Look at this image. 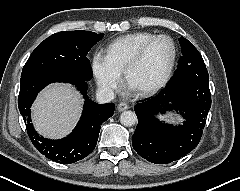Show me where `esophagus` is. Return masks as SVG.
Masks as SVG:
<instances>
[{
    "label": "esophagus",
    "instance_id": "obj_1",
    "mask_svg": "<svg viewBox=\"0 0 240 191\" xmlns=\"http://www.w3.org/2000/svg\"><path fill=\"white\" fill-rule=\"evenodd\" d=\"M117 108H118V111L122 112V111L129 109V105L122 102V103L118 104Z\"/></svg>",
    "mask_w": 240,
    "mask_h": 191
}]
</instances>
